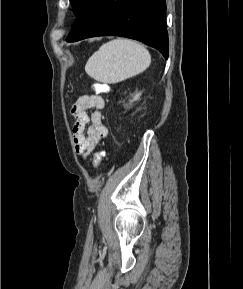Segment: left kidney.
Masks as SVG:
<instances>
[{"label":"left kidney","mask_w":243,"mask_h":289,"mask_svg":"<svg viewBox=\"0 0 243 289\" xmlns=\"http://www.w3.org/2000/svg\"><path fill=\"white\" fill-rule=\"evenodd\" d=\"M140 94L135 95L134 100H137L139 98Z\"/></svg>","instance_id":"5707ae66"}]
</instances>
